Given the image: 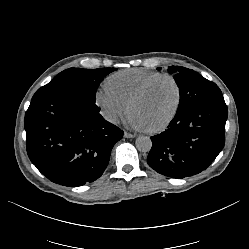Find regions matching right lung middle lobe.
<instances>
[{
    "instance_id": "1",
    "label": "right lung middle lobe",
    "mask_w": 249,
    "mask_h": 249,
    "mask_svg": "<svg viewBox=\"0 0 249 249\" xmlns=\"http://www.w3.org/2000/svg\"><path fill=\"white\" fill-rule=\"evenodd\" d=\"M117 68H70L59 73L47 85L36 91L32 100L55 95H74L86 102L95 103L100 81Z\"/></svg>"
}]
</instances>
